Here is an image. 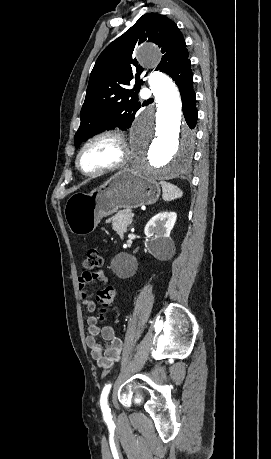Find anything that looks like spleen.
<instances>
[{"label":"spleen","instance_id":"3e777b00","mask_svg":"<svg viewBox=\"0 0 271 459\" xmlns=\"http://www.w3.org/2000/svg\"><path fill=\"white\" fill-rule=\"evenodd\" d=\"M162 186V198L165 202H171V200H175L177 188L173 186V184H168V182H160Z\"/></svg>","mask_w":271,"mask_h":459}]
</instances>
